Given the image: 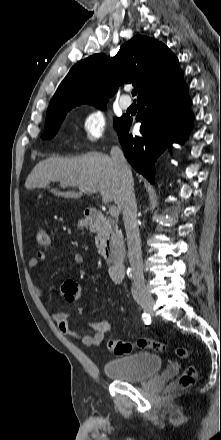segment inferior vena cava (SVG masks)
Returning <instances> with one entry per match:
<instances>
[{
    "label": "inferior vena cava",
    "mask_w": 221,
    "mask_h": 440,
    "mask_svg": "<svg viewBox=\"0 0 221 440\" xmlns=\"http://www.w3.org/2000/svg\"><path fill=\"white\" fill-rule=\"evenodd\" d=\"M110 155L120 178V204L127 236L128 257L133 273V292L140 296L144 294V273L132 172L123 151L118 146L111 148Z\"/></svg>",
    "instance_id": "inferior-vena-cava-1"
}]
</instances>
